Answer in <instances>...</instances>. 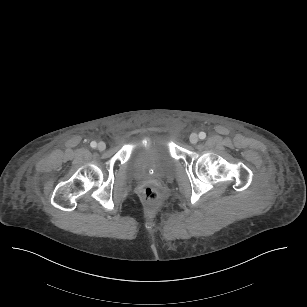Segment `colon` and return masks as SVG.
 Listing matches in <instances>:
<instances>
[{"label": "colon", "mask_w": 307, "mask_h": 307, "mask_svg": "<svg viewBox=\"0 0 307 307\" xmlns=\"http://www.w3.org/2000/svg\"><path fill=\"white\" fill-rule=\"evenodd\" d=\"M141 199L145 203H153L157 199V192L153 188H145L141 192Z\"/></svg>", "instance_id": "5ec220e1"}]
</instances>
